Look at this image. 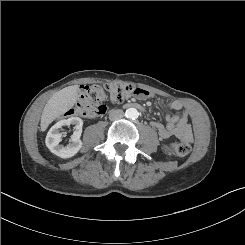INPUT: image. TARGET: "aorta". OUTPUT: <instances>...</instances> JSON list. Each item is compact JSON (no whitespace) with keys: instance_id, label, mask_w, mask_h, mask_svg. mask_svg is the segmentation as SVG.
Listing matches in <instances>:
<instances>
[{"instance_id":"762f6f07","label":"aorta","mask_w":245,"mask_h":245,"mask_svg":"<svg viewBox=\"0 0 245 245\" xmlns=\"http://www.w3.org/2000/svg\"><path fill=\"white\" fill-rule=\"evenodd\" d=\"M125 115L127 118L134 120L138 117L139 113L135 108H128L125 112Z\"/></svg>"}]
</instances>
